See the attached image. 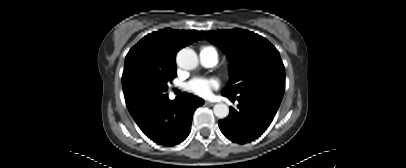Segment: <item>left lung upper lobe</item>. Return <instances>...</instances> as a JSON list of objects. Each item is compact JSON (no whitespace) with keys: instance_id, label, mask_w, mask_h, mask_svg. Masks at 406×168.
<instances>
[{"instance_id":"5c2ea615","label":"left lung upper lobe","mask_w":406,"mask_h":168,"mask_svg":"<svg viewBox=\"0 0 406 168\" xmlns=\"http://www.w3.org/2000/svg\"><path fill=\"white\" fill-rule=\"evenodd\" d=\"M231 62V82L222 94L265 93L283 96L285 68L277 49L265 38L242 29L203 32Z\"/></svg>"}]
</instances>
